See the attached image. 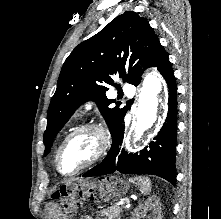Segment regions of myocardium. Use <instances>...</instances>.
I'll list each match as a JSON object with an SVG mask.
<instances>
[{"mask_svg": "<svg viewBox=\"0 0 221 219\" xmlns=\"http://www.w3.org/2000/svg\"><path fill=\"white\" fill-rule=\"evenodd\" d=\"M85 132H93L96 134L97 139H98V146L97 150L94 154V156L87 162L84 166L79 168L78 170L72 172V173H63L60 168H59V157L64 149V147L69 143V141L74 138L75 136L85 133ZM111 142V137L109 130L102 124V123H97V122H91L84 124L72 132H70L64 140L61 142L59 145L56 154H55V159H54V164L57 172L65 177H72L80 174L81 172L93 167L96 163H98L102 157L107 153L109 146Z\"/></svg>", "mask_w": 221, "mask_h": 219, "instance_id": "f54148a6", "label": "myocardium"}]
</instances>
